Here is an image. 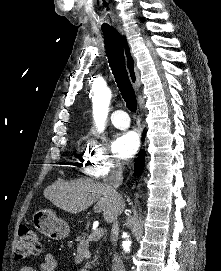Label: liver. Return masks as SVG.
<instances>
[{"label":"liver","instance_id":"obj_1","mask_svg":"<svg viewBox=\"0 0 221 271\" xmlns=\"http://www.w3.org/2000/svg\"><path fill=\"white\" fill-rule=\"evenodd\" d=\"M44 195L52 201L53 205L64 209V211H69V213L84 211L97 201L95 207L99 211H103L104 221L107 223L112 221L114 215H120L126 205L121 195L117 199L106 197L103 181H95L90 177L75 179V181L57 179L55 183L44 189Z\"/></svg>","mask_w":221,"mask_h":271}]
</instances>
